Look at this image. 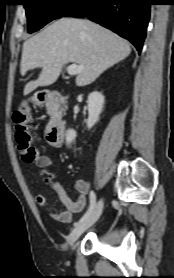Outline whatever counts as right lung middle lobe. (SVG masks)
<instances>
[{"label":"right lung middle lobe","instance_id":"obj_1","mask_svg":"<svg viewBox=\"0 0 174 278\" xmlns=\"http://www.w3.org/2000/svg\"><path fill=\"white\" fill-rule=\"evenodd\" d=\"M28 19V32L32 33L54 19L64 16L78 0H23Z\"/></svg>","mask_w":174,"mask_h":278}]
</instances>
